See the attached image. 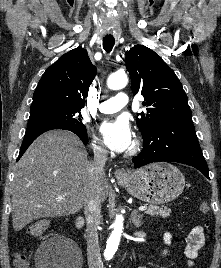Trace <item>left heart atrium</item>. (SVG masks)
Wrapping results in <instances>:
<instances>
[{"mask_svg":"<svg viewBox=\"0 0 221 268\" xmlns=\"http://www.w3.org/2000/svg\"><path fill=\"white\" fill-rule=\"evenodd\" d=\"M100 133L104 143L115 152H125L132 146V129L125 118L103 122Z\"/></svg>","mask_w":221,"mask_h":268,"instance_id":"obj_1","label":"left heart atrium"}]
</instances>
